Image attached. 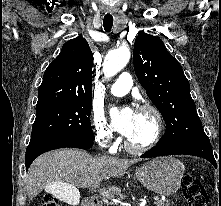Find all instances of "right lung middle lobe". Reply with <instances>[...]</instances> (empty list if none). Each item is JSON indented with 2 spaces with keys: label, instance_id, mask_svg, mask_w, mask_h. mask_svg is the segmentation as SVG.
<instances>
[{
  "label": "right lung middle lobe",
  "instance_id": "1",
  "mask_svg": "<svg viewBox=\"0 0 221 206\" xmlns=\"http://www.w3.org/2000/svg\"><path fill=\"white\" fill-rule=\"evenodd\" d=\"M92 103L51 104L36 107V119L32 127L30 144L66 139L94 140L89 115Z\"/></svg>",
  "mask_w": 221,
  "mask_h": 206
}]
</instances>
